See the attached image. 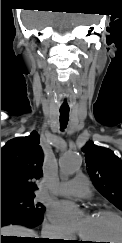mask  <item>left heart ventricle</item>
Instances as JSON below:
<instances>
[{"instance_id": "b2bd125f", "label": "left heart ventricle", "mask_w": 122, "mask_h": 243, "mask_svg": "<svg viewBox=\"0 0 122 243\" xmlns=\"http://www.w3.org/2000/svg\"><path fill=\"white\" fill-rule=\"evenodd\" d=\"M87 243L106 240V243H121L122 224L118 219L107 215H93L86 217L84 228L81 232ZM93 240V241H92Z\"/></svg>"}]
</instances>
